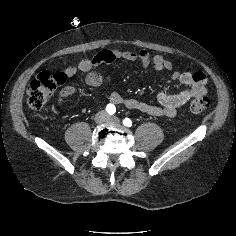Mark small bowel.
<instances>
[{
  "mask_svg": "<svg viewBox=\"0 0 236 236\" xmlns=\"http://www.w3.org/2000/svg\"><path fill=\"white\" fill-rule=\"evenodd\" d=\"M117 59L139 61L143 68L152 66L156 71H171L173 64L161 55L151 56L145 49L139 51H120L115 49H103L91 58L81 60L77 66L66 68L63 73L67 79L74 77L78 71L85 73V83L91 87L101 89L112 81L111 76H104L97 71L100 64L112 63ZM173 80L182 84L185 89L171 94L160 92L158 105L139 101L134 98H125L117 92L103 91L102 95L113 105H124L129 109H136L152 116L174 117L192 98L202 96L207 89V76L202 71L174 72ZM76 88L73 86L63 87L58 96L57 103L62 105L66 98L74 95Z\"/></svg>",
  "mask_w": 236,
  "mask_h": 236,
  "instance_id": "obj_1",
  "label": "small bowel"
}]
</instances>
